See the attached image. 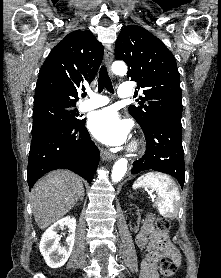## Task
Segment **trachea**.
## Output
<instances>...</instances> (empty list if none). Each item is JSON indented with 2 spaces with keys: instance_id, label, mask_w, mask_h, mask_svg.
<instances>
[{
  "instance_id": "3493384b",
  "label": "trachea",
  "mask_w": 221,
  "mask_h": 278,
  "mask_svg": "<svg viewBox=\"0 0 221 278\" xmlns=\"http://www.w3.org/2000/svg\"><path fill=\"white\" fill-rule=\"evenodd\" d=\"M104 88H106L110 93H114L112 82L109 78L107 69L105 66H101L98 79V92H102ZM82 95L83 97L86 96L85 91Z\"/></svg>"
}]
</instances>
